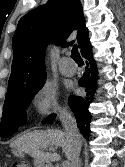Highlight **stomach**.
Returning a JSON list of instances; mask_svg holds the SVG:
<instances>
[{
  "mask_svg": "<svg viewBox=\"0 0 125 167\" xmlns=\"http://www.w3.org/2000/svg\"><path fill=\"white\" fill-rule=\"evenodd\" d=\"M12 153L15 157L18 158H24L25 157V153L19 149L13 148L12 149ZM34 165L35 167H51L48 163L40 161V160H34Z\"/></svg>",
  "mask_w": 125,
  "mask_h": 167,
  "instance_id": "stomach-1",
  "label": "stomach"
}]
</instances>
